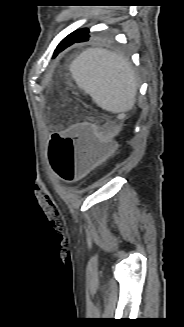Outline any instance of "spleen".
I'll use <instances>...</instances> for the list:
<instances>
[{
  "instance_id": "1",
  "label": "spleen",
  "mask_w": 184,
  "mask_h": 327,
  "mask_svg": "<svg viewBox=\"0 0 184 327\" xmlns=\"http://www.w3.org/2000/svg\"><path fill=\"white\" fill-rule=\"evenodd\" d=\"M77 85L102 109L120 113L133 108L136 75L130 62L106 49L89 48L70 65Z\"/></svg>"
}]
</instances>
